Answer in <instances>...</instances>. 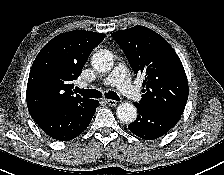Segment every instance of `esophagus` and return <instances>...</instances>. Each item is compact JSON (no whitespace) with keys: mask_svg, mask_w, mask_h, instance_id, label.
I'll return each instance as SVG.
<instances>
[{"mask_svg":"<svg viewBox=\"0 0 224 175\" xmlns=\"http://www.w3.org/2000/svg\"><path fill=\"white\" fill-rule=\"evenodd\" d=\"M105 103L108 104L109 106H116L117 105V101L116 100H112V99H104Z\"/></svg>","mask_w":224,"mask_h":175,"instance_id":"esophagus-1","label":"esophagus"}]
</instances>
